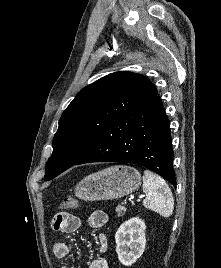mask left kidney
Wrapping results in <instances>:
<instances>
[{
  "mask_svg": "<svg viewBox=\"0 0 221 268\" xmlns=\"http://www.w3.org/2000/svg\"><path fill=\"white\" fill-rule=\"evenodd\" d=\"M145 230V222L138 217L120 225L115 234V242L118 259L123 265L131 266L143 254L146 245Z\"/></svg>",
  "mask_w": 221,
  "mask_h": 268,
  "instance_id": "1",
  "label": "left kidney"
}]
</instances>
